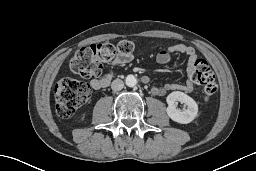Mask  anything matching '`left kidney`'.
I'll return each mask as SVG.
<instances>
[{
	"label": "left kidney",
	"instance_id": "5707ae66",
	"mask_svg": "<svg viewBox=\"0 0 256 171\" xmlns=\"http://www.w3.org/2000/svg\"><path fill=\"white\" fill-rule=\"evenodd\" d=\"M168 116L175 122L188 124L194 120L198 113V105L193 98L180 91L170 93L166 98ZM186 105V109L179 110L177 103Z\"/></svg>",
	"mask_w": 256,
	"mask_h": 171
}]
</instances>
